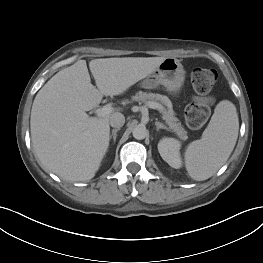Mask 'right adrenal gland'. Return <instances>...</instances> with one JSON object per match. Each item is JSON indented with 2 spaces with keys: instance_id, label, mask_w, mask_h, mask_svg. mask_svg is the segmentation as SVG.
<instances>
[{
  "instance_id": "1",
  "label": "right adrenal gland",
  "mask_w": 263,
  "mask_h": 263,
  "mask_svg": "<svg viewBox=\"0 0 263 263\" xmlns=\"http://www.w3.org/2000/svg\"><path fill=\"white\" fill-rule=\"evenodd\" d=\"M120 130V128L113 129L112 134L110 135L109 139L113 138L114 143L116 142L117 132Z\"/></svg>"
}]
</instances>
